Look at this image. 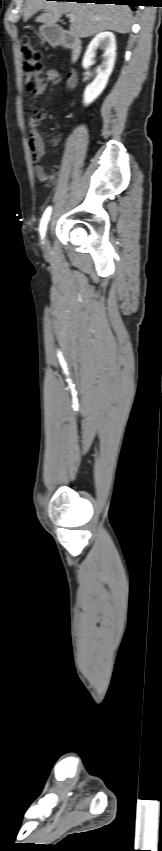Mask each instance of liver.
Instances as JSON below:
<instances>
[{
  "label": "liver",
  "instance_id": "obj_1",
  "mask_svg": "<svg viewBox=\"0 0 162 851\" xmlns=\"http://www.w3.org/2000/svg\"><path fill=\"white\" fill-rule=\"evenodd\" d=\"M45 13L36 21L48 25L57 23L63 13H70V31L73 35L86 38L106 30L128 33L132 25V13L127 5L96 4L85 2L26 0L24 21L39 10Z\"/></svg>",
  "mask_w": 162,
  "mask_h": 851
}]
</instances>
